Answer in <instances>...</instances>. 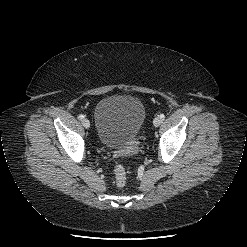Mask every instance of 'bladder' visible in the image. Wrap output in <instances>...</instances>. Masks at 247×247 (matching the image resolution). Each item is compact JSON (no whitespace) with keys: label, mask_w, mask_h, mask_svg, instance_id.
<instances>
[{"label":"bladder","mask_w":247,"mask_h":247,"mask_svg":"<svg viewBox=\"0 0 247 247\" xmlns=\"http://www.w3.org/2000/svg\"><path fill=\"white\" fill-rule=\"evenodd\" d=\"M95 127L99 143L121 154H130L146 117L143 103L131 95H112L95 107Z\"/></svg>","instance_id":"bladder-1"}]
</instances>
